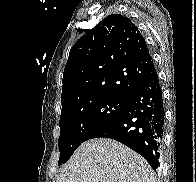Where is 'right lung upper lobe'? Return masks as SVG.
<instances>
[{
	"label": "right lung upper lobe",
	"mask_w": 196,
	"mask_h": 182,
	"mask_svg": "<svg viewBox=\"0 0 196 182\" xmlns=\"http://www.w3.org/2000/svg\"><path fill=\"white\" fill-rule=\"evenodd\" d=\"M154 69L138 28L127 17L111 14L71 48L61 112L100 97L128 99Z\"/></svg>",
	"instance_id": "1"
}]
</instances>
